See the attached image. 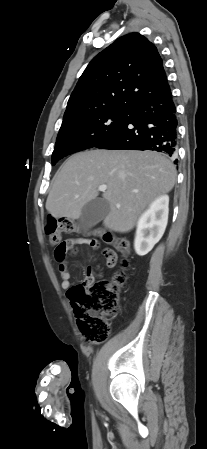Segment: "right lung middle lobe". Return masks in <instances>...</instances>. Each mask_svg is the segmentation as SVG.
<instances>
[{"instance_id": "right-lung-middle-lobe-1", "label": "right lung middle lobe", "mask_w": 207, "mask_h": 449, "mask_svg": "<svg viewBox=\"0 0 207 449\" xmlns=\"http://www.w3.org/2000/svg\"><path fill=\"white\" fill-rule=\"evenodd\" d=\"M132 112L131 108H108L63 120L52 154V166L63 157L95 147L110 137L123 127Z\"/></svg>"}]
</instances>
